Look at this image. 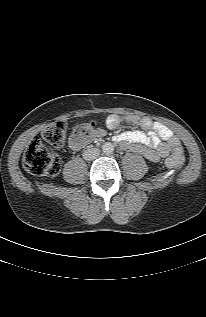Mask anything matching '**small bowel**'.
<instances>
[{"label":"small bowel","mask_w":206,"mask_h":317,"mask_svg":"<svg viewBox=\"0 0 206 317\" xmlns=\"http://www.w3.org/2000/svg\"><path fill=\"white\" fill-rule=\"evenodd\" d=\"M138 125L141 130H132L119 133L115 136L122 148L131 150L144 156L152 162H158L162 158L169 155L171 149V141L174 139L172 131L165 125L152 121L148 117L129 115L120 117L118 115H110L106 120V125L110 129L116 128L120 123ZM102 130L99 131L101 135ZM88 140L76 141L73 137L70 145L73 149L82 148Z\"/></svg>","instance_id":"1"}]
</instances>
